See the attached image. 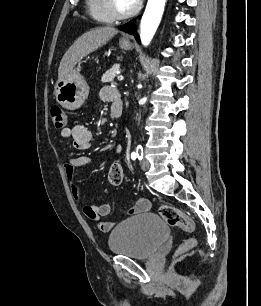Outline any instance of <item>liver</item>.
Wrapping results in <instances>:
<instances>
[{
	"instance_id": "obj_1",
	"label": "liver",
	"mask_w": 261,
	"mask_h": 306,
	"mask_svg": "<svg viewBox=\"0 0 261 306\" xmlns=\"http://www.w3.org/2000/svg\"><path fill=\"white\" fill-rule=\"evenodd\" d=\"M118 30L114 27H98L80 36L64 54L59 68L58 80L64 79L85 56L106 44Z\"/></svg>"
}]
</instances>
